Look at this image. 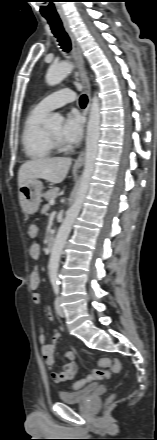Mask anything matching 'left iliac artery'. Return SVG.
<instances>
[{
	"instance_id": "1",
	"label": "left iliac artery",
	"mask_w": 157,
	"mask_h": 440,
	"mask_svg": "<svg viewBox=\"0 0 157 440\" xmlns=\"http://www.w3.org/2000/svg\"><path fill=\"white\" fill-rule=\"evenodd\" d=\"M59 282H53L52 283V285H53V290H54V292H55V294H58L59 293Z\"/></svg>"
}]
</instances>
